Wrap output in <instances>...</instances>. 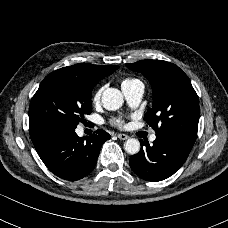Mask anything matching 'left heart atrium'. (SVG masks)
<instances>
[{"instance_id":"obj_1","label":"left heart atrium","mask_w":228,"mask_h":228,"mask_svg":"<svg viewBox=\"0 0 228 228\" xmlns=\"http://www.w3.org/2000/svg\"><path fill=\"white\" fill-rule=\"evenodd\" d=\"M116 124H117V125H121L122 122H121V121H116Z\"/></svg>"}]
</instances>
